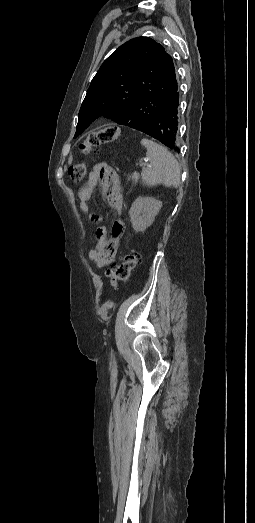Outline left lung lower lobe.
Listing matches in <instances>:
<instances>
[{
  "label": "left lung lower lobe",
  "instance_id": "left-lung-lower-lobe-1",
  "mask_svg": "<svg viewBox=\"0 0 255 523\" xmlns=\"http://www.w3.org/2000/svg\"><path fill=\"white\" fill-rule=\"evenodd\" d=\"M181 104L179 90L173 93L170 102L163 106L162 115H153L154 121H149L141 127H135V129L144 130L151 137L158 140L159 144L164 147H168L170 151L175 152L178 150L179 145L176 142L178 136V116L177 109Z\"/></svg>",
  "mask_w": 255,
  "mask_h": 523
}]
</instances>
